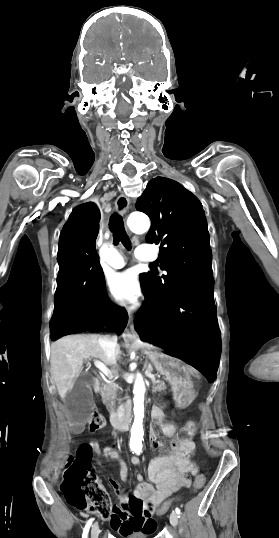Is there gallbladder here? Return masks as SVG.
I'll return each instance as SVG.
<instances>
[{"mask_svg":"<svg viewBox=\"0 0 279 538\" xmlns=\"http://www.w3.org/2000/svg\"><path fill=\"white\" fill-rule=\"evenodd\" d=\"M93 384V376L88 372H81L80 376L75 380L72 390L68 392V397L64 399V403L60 406L62 412L69 413L68 419L70 422L90 423L92 421V414L88 412V406H91L94 402V397L90 390ZM73 430L79 431L80 425L74 424Z\"/></svg>","mask_w":279,"mask_h":538,"instance_id":"bac80fb5","label":"gallbladder"}]
</instances>
